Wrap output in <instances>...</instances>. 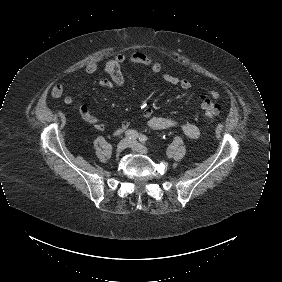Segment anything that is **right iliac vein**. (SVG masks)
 Returning <instances> with one entry per match:
<instances>
[{"label": "right iliac vein", "instance_id": "63e3f726", "mask_svg": "<svg viewBox=\"0 0 282 282\" xmlns=\"http://www.w3.org/2000/svg\"><path fill=\"white\" fill-rule=\"evenodd\" d=\"M130 139L129 138H125L123 140H121L116 148V152L117 153H121L123 150H125L127 147L130 146Z\"/></svg>", "mask_w": 282, "mask_h": 282}]
</instances>
